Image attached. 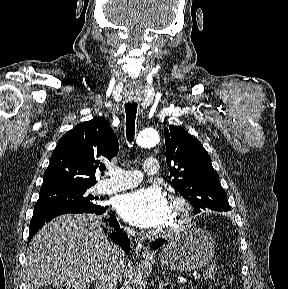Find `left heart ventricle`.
<instances>
[{
  "instance_id": "left-heart-ventricle-1",
  "label": "left heart ventricle",
  "mask_w": 288,
  "mask_h": 289,
  "mask_svg": "<svg viewBox=\"0 0 288 289\" xmlns=\"http://www.w3.org/2000/svg\"><path fill=\"white\" fill-rule=\"evenodd\" d=\"M181 219V212L180 210L170 204V211H169V219H168V226L174 225L178 223Z\"/></svg>"
}]
</instances>
